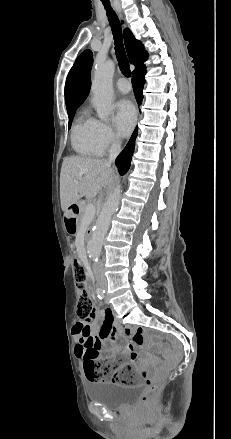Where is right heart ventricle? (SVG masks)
Returning a JSON list of instances; mask_svg holds the SVG:
<instances>
[{
	"label": "right heart ventricle",
	"mask_w": 231,
	"mask_h": 439,
	"mask_svg": "<svg viewBox=\"0 0 231 439\" xmlns=\"http://www.w3.org/2000/svg\"><path fill=\"white\" fill-rule=\"evenodd\" d=\"M71 144L74 151L82 156H97L102 153L94 140V119L85 110L80 112L73 125Z\"/></svg>",
	"instance_id": "right-heart-ventricle-1"
}]
</instances>
